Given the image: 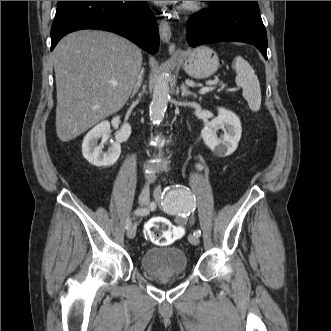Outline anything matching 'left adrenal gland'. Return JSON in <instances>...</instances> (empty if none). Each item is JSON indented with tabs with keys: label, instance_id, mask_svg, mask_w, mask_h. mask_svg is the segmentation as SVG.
Here are the masks:
<instances>
[{
	"label": "left adrenal gland",
	"instance_id": "a2214340",
	"mask_svg": "<svg viewBox=\"0 0 331 331\" xmlns=\"http://www.w3.org/2000/svg\"><path fill=\"white\" fill-rule=\"evenodd\" d=\"M181 95H182V97H186V96L190 95V96H193L194 98H197L196 94L189 91L187 86L184 83L181 85Z\"/></svg>",
	"mask_w": 331,
	"mask_h": 331
}]
</instances>
